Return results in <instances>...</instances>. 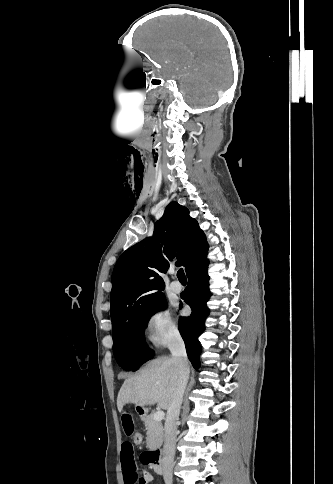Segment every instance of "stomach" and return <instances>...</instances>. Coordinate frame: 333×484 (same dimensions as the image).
I'll return each instance as SVG.
<instances>
[{
    "mask_svg": "<svg viewBox=\"0 0 333 484\" xmlns=\"http://www.w3.org/2000/svg\"><path fill=\"white\" fill-rule=\"evenodd\" d=\"M136 411L141 417H144L146 414V409L141 406H136Z\"/></svg>",
    "mask_w": 333,
    "mask_h": 484,
    "instance_id": "1",
    "label": "stomach"
}]
</instances>
